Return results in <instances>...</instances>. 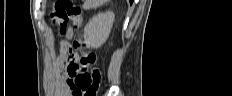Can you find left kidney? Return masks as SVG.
<instances>
[{"mask_svg": "<svg viewBox=\"0 0 232 96\" xmlns=\"http://www.w3.org/2000/svg\"><path fill=\"white\" fill-rule=\"evenodd\" d=\"M115 14L112 11L99 13L93 17L84 28L85 43L92 48H98L109 37Z\"/></svg>", "mask_w": 232, "mask_h": 96, "instance_id": "obj_1", "label": "left kidney"}]
</instances>
